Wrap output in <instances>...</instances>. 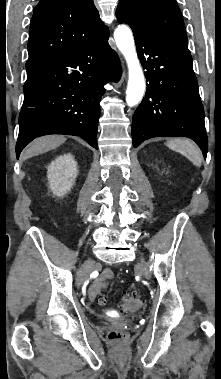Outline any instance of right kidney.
Instances as JSON below:
<instances>
[{
    "label": "right kidney",
    "mask_w": 221,
    "mask_h": 379,
    "mask_svg": "<svg viewBox=\"0 0 221 379\" xmlns=\"http://www.w3.org/2000/svg\"><path fill=\"white\" fill-rule=\"evenodd\" d=\"M77 163L71 154L59 156L47 170L49 187L54 195L62 197L73 187L77 177Z\"/></svg>",
    "instance_id": "1"
}]
</instances>
